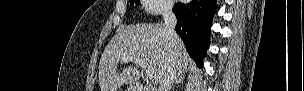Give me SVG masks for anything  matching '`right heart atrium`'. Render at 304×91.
Instances as JSON below:
<instances>
[{
    "label": "right heart atrium",
    "instance_id": "obj_1",
    "mask_svg": "<svg viewBox=\"0 0 304 91\" xmlns=\"http://www.w3.org/2000/svg\"><path fill=\"white\" fill-rule=\"evenodd\" d=\"M144 6L147 12L151 14H162L169 10L167 0H145Z\"/></svg>",
    "mask_w": 304,
    "mask_h": 91
}]
</instances>
